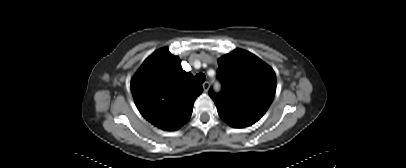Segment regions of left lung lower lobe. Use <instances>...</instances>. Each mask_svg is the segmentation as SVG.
<instances>
[{"mask_svg":"<svg viewBox=\"0 0 406 168\" xmlns=\"http://www.w3.org/2000/svg\"><path fill=\"white\" fill-rule=\"evenodd\" d=\"M223 120L225 122H227L230 126L234 127V128H243V127H247V126L252 125V124H249V123L235 121V120H228V119H223Z\"/></svg>","mask_w":406,"mask_h":168,"instance_id":"obj_1","label":"left lung lower lobe"}]
</instances>
